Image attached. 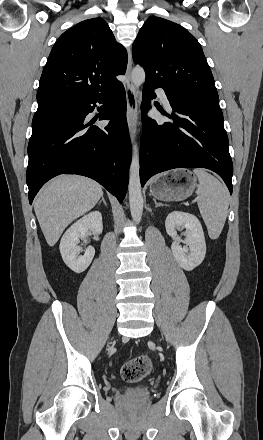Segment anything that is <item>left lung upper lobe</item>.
Wrapping results in <instances>:
<instances>
[{
    "instance_id": "left-lung-upper-lobe-1",
    "label": "left lung upper lobe",
    "mask_w": 263,
    "mask_h": 440,
    "mask_svg": "<svg viewBox=\"0 0 263 440\" xmlns=\"http://www.w3.org/2000/svg\"><path fill=\"white\" fill-rule=\"evenodd\" d=\"M146 82L168 87L188 100L219 102L217 89L201 45L186 29L151 16L132 46Z\"/></svg>"
}]
</instances>
